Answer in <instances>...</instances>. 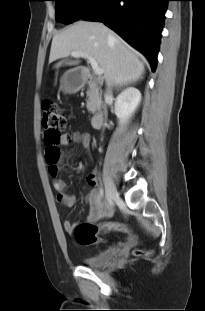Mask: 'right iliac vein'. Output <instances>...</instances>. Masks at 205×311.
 <instances>
[{"instance_id":"1","label":"right iliac vein","mask_w":205,"mask_h":311,"mask_svg":"<svg viewBox=\"0 0 205 311\" xmlns=\"http://www.w3.org/2000/svg\"><path fill=\"white\" fill-rule=\"evenodd\" d=\"M105 189L106 199L111 206L113 204V201H115L119 197V195L113 181L109 177H106Z\"/></svg>"}]
</instances>
